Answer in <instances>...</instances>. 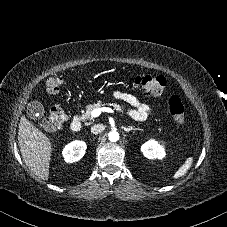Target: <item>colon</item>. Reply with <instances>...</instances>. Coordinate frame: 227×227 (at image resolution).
<instances>
[{
    "label": "colon",
    "mask_w": 227,
    "mask_h": 227,
    "mask_svg": "<svg viewBox=\"0 0 227 227\" xmlns=\"http://www.w3.org/2000/svg\"><path fill=\"white\" fill-rule=\"evenodd\" d=\"M134 85L152 95H162L166 88V79L160 75L138 74L134 77ZM64 83L63 76L55 73L45 80V88L51 94L59 92ZM169 112L173 122L181 125L185 121V107L177 95L169 99ZM67 121V115L61 105H54L48 115L41 121L40 127L46 132L59 131Z\"/></svg>",
    "instance_id": "obj_1"
}]
</instances>
